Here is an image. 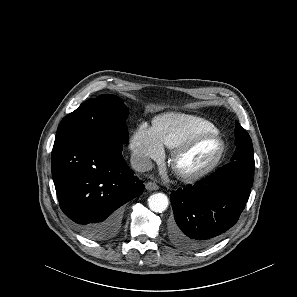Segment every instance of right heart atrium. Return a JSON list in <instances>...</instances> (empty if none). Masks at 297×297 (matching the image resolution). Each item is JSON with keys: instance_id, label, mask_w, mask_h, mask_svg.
Returning <instances> with one entry per match:
<instances>
[{"instance_id": "d8ad5b80", "label": "right heart atrium", "mask_w": 297, "mask_h": 297, "mask_svg": "<svg viewBox=\"0 0 297 297\" xmlns=\"http://www.w3.org/2000/svg\"><path fill=\"white\" fill-rule=\"evenodd\" d=\"M131 151L134 163L140 170H147L154 161L161 160L164 149L158 140L154 129L142 123L131 140Z\"/></svg>"}]
</instances>
